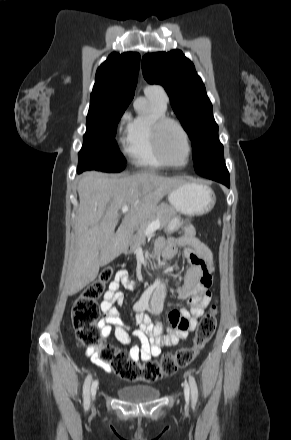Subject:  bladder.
<instances>
[{"label": "bladder", "mask_w": 291, "mask_h": 440, "mask_svg": "<svg viewBox=\"0 0 291 440\" xmlns=\"http://www.w3.org/2000/svg\"><path fill=\"white\" fill-rule=\"evenodd\" d=\"M117 395L126 402H144L155 400L160 391L157 387L135 385L119 388Z\"/></svg>", "instance_id": "31cf9c89"}]
</instances>
